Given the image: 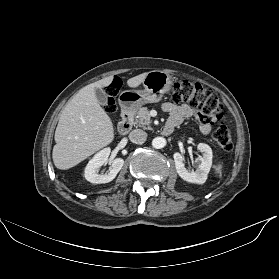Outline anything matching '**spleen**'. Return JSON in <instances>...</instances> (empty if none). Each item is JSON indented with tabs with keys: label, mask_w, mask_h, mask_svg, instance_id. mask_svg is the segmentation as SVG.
Wrapping results in <instances>:
<instances>
[{
	"label": "spleen",
	"mask_w": 279,
	"mask_h": 279,
	"mask_svg": "<svg viewBox=\"0 0 279 279\" xmlns=\"http://www.w3.org/2000/svg\"><path fill=\"white\" fill-rule=\"evenodd\" d=\"M214 168H215V173L221 175V173H222V165L218 164Z\"/></svg>",
	"instance_id": "spleen-1"
}]
</instances>
